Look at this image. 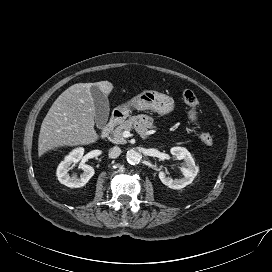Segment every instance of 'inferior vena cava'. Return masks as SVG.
I'll list each match as a JSON object with an SVG mask.
<instances>
[{
  "label": "inferior vena cava",
  "mask_w": 272,
  "mask_h": 272,
  "mask_svg": "<svg viewBox=\"0 0 272 272\" xmlns=\"http://www.w3.org/2000/svg\"><path fill=\"white\" fill-rule=\"evenodd\" d=\"M120 154H121V149L119 147H117V146L112 147V148L109 149L108 155L112 159L117 158Z\"/></svg>",
  "instance_id": "1"
}]
</instances>
